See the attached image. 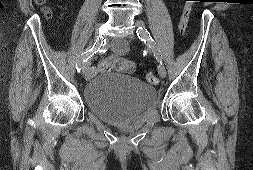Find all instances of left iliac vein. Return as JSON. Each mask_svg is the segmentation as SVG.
I'll list each match as a JSON object with an SVG mask.
<instances>
[{
	"label": "left iliac vein",
	"mask_w": 253,
	"mask_h": 170,
	"mask_svg": "<svg viewBox=\"0 0 253 170\" xmlns=\"http://www.w3.org/2000/svg\"><path fill=\"white\" fill-rule=\"evenodd\" d=\"M135 24L139 27H143L145 28V23L141 20H136ZM158 72L161 78H165L166 77V69L165 67L162 65V63H159L158 65Z\"/></svg>",
	"instance_id": "obj_1"
}]
</instances>
